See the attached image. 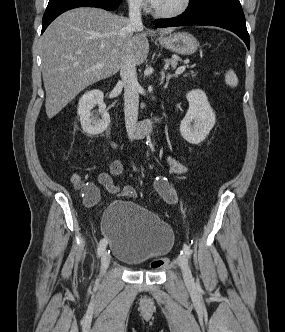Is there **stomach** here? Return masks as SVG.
I'll return each mask as SVG.
<instances>
[{
  "label": "stomach",
  "instance_id": "stomach-1",
  "mask_svg": "<svg viewBox=\"0 0 285 332\" xmlns=\"http://www.w3.org/2000/svg\"><path fill=\"white\" fill-rule=\"evenodd\" d=\"M159 43L162 47L180 55H192L199 45L197 39L187 32H176L169 36H161Z\"/></svg>",
  "mask_w": 285,
  "mask_h": 332
}]
</instances>
